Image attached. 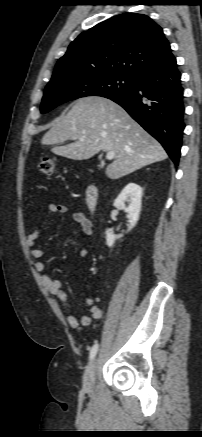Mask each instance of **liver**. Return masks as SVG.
Segmentation results:
<instances>
[{
	"mask_svg": "<svg viewBox=\"0 0 202 437\" xmlns=\"http://www.w3.org/2000/svg\"><path fill=\"white\" fill-rule=\"evenodd\" d=\"M67 140L74 142L59 146ZM41 143L52 145L54 154L73 160L89 159L101 150L113 151L114 161L106 168V175L113 180L167 158L160 143L121 106L96 96L77 100L65 116L52 123Z\"/></svg>",
	"mask_w": 202,
	"mask_h": 437,
	"instance_id": "obj_1",
	"label": "liver"
}]
</instances>
